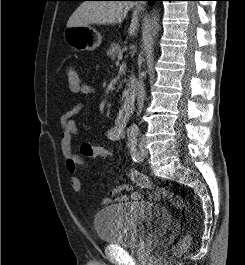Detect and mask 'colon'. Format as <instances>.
Masks as SVG:
<instances>
[{
    "mask_svg": "<svg viewBox=\"0 0 245 265\" xmlns=\"http://www.w3.org/2000/svg\"><path fill=\"white\" fill-rule=\"evenodd\" d=\"M66 80L70 90L77 93L82 82L78 72L74 68H67ZM81 154L90 159H106L113 156L110 150L91 143L82 144ZM126 173L128 177L138 186L153 190L168 201L174 208L180 211L189 212L188 205L183 197L179 194L171 192L167 186H156L147 176L133 169H127ZM190 243L191 235L190 233H187L175 246H173L172 253L177 254L185 251L190 246Z\"/></svg>",
    "mask_w": 245,
    "mask_h": 265,
    "instance_id": "1",
    "label": "colon"
}]
</instances>
